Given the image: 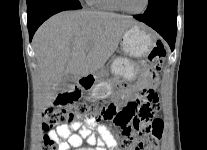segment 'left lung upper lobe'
I'll return each mask as SVG.
<instances>
[{
  "label": "left lung upper lobe",
  "mask_w": 207,
  "mask_h": 150,
  "mask_svg": "<svg viewBox=\"0 0 207 150\" xmlns=\"http://www.w3.org/2000/svg\"><path fill=\"white\" fill-rule=\"evenodd\" d=\"M172 2H177V0H149L148 7L144 14L155 13Z\"/></svg>",
  "instance_id": "1"
}]
</instances>
